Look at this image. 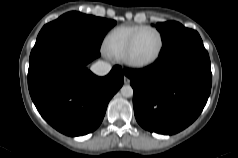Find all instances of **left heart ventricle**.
<instances>
[{
    "label": "left heart ventricle",
    "mask_w": 238,
    "mask_h": 158,
    "mask_svg": "<svg viewBox=\"0 0 238 158\" xmlns=\"http://www.w3.org/2000/svg\"><path fill=\"white\" fill-rule=\"evenodd\" d=\"M159 48V37L156 32L146 30L138 37L134 50L133 58L138 61L151 59Z\"/></svg>",
    "instance_id": "left-heart-ventricle-1"
}]
</instances>
